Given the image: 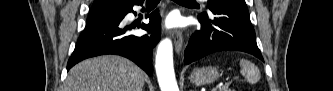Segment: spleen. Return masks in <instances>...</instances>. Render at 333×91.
I'll return each instance as SVG.
<instances>
[{"label": "spleen", "instance_id": "obj_1", "mask_svg": "<svg viewBox=\"0 0 333 91\" xmlns=\"http://www.w3.org/2000/svg\"><path fill=\"white\" fill-rule=\"evenodd\" d=\"M240 72L250 84L257 83L261 77L259 69L252 62L245 59L240 60Z\"/></svg>", "mask_w": 333, "mask_h": 91}]
</instances>
